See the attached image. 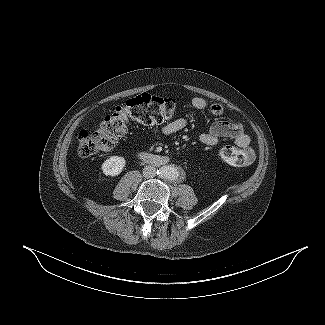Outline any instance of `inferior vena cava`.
Returning <instances> with one entry per match:
<instances>
[{
  "mask_svg": "<svg viewBox=\"0 0 325 325\" xmlns=\"http://www.w3.org/2000/svg\"><path fill=\"white\" fill-rule=\"evenodd\" d=\"M157 174V170L155 167L148 165L143 169V176L147 179L155 177Z\"/></svg>",
  "mask_w": 325,
  "mask_h": 325,
  "instance_id": "1",
  "label": "inferior vena cava"
}]
</instances>
